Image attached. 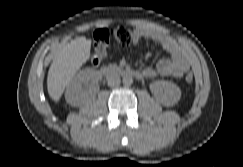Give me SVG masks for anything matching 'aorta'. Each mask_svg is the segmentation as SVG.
<instances>
[{
	"label": "aorta",
	"instance_id": "762f6f07",
	"mask_svg": "<svg viewBox=\"0 0 243 167\" xmlns=\"http://www.w3.org/2000/svg\"><path fill=\"white\" fill-rule=\"evenodd\" d=\"M122 82L125 86H130L133 83V78L130 75H124Z\"/></svg>",
	"mask_w": 243,
	"mask_h": 167
}]
</instances>
